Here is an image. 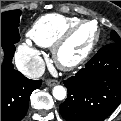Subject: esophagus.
<instances>
[{
  "label": "esophagus",
  "instance_id": "esophagus-1",
  "mask_svg": "<svg viewBox=\"0 0 121 121\" xmlns=\"http://www.w3.org/2000/svg\"><path fill=\"white\" fill-rule=\"evenodd\" d=\"M59 82L57 81V80H47L46 81V84L48 85V86H54V85H56V84H58Z\"/></svg>",
  "mask_w": 121,
  "mask_h": 121
}]
</instances>
